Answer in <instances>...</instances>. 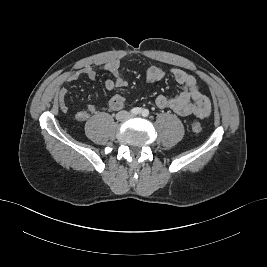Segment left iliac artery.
<instances>
[{"instance_id":"44dca946","label":"left iliac artery","mask_w":267,"mask_h":267,"mask_svg":"<svg viewBox=\"0 0 267 267\" xmlns=\"http://www.w3.org/2000/svg\"><path fill=\"white\" fill-rule=\"evenodd\" d=\"M142 116L147 117L149 115V111L147 109L142 110Z\"/></svg>"}]
</instances>
